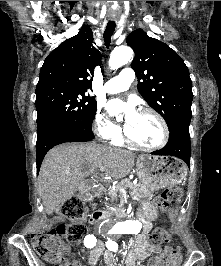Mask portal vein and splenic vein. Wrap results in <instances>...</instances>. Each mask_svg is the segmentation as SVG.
<instances>
[{
    "mask_svg": "<svg viewBox=\"0 0 221 266\" xmlns=\"http://www.w3.org/2000/svg\"><path fill=\"white\" fill-rule=\"evenodd\" d=\"M100 171H101V172L105 171V167H104V166L100 167ZM119 189H120V191L123 192V193L126 192L125 188H123V187H121V186H119Z\"/></svg>",
    "mask_w": 221,
    "mask_h": 266,
    "instance_id": "obj_1",
    "label": "portal vein and splenic vein"
}]
</instances>
